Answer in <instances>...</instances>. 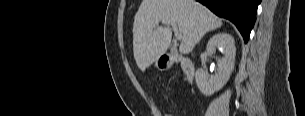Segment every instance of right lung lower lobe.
Returning a JSON list of instances; mask_svg holds the SVG:
<instances>
[{
    "instance_id": "1",
    "label": "right lung lower lobe",
    "mask_w": 305,
    "mask_h": 116,
    "mask_svg": "<svg viewBox=\"0 0 305 116\" xmlns=\"http://www.w3.org/2000/svg\"><path fill=\"white\" fill-rule=\"evenodd\" d=\"M216 15L233 22L245 43L256 20L257 7L261 0H197Z\"/></svg>"
}]
</instances>
